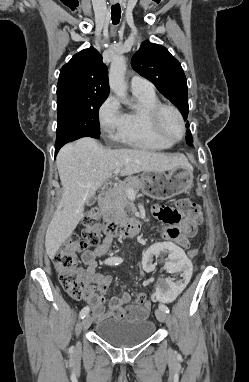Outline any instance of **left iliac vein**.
I'll return each mask as SVG.
<instances>
[{
    "instance_id": "obj_1",
    "label": "left iliac vein",
    "mask_w": 249,
    "mask_h": 382,
    "mask_svg": "<svg viewBox=\"0 0 249 382\" xmlns=\"http://www.w3.org/2000/svg\"><path fill=\"white\" fill-rule=\"evenodd\" d=\"M155 315L157 317V319L160 321V322H165L167 320V314L165 311L161 310V309H157L155 311Z\"/></svg>"
}]
</instances>
